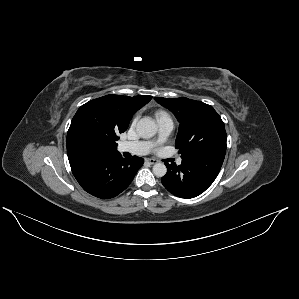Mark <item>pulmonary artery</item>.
<instances>
[{"instance_id":"e3ab8cb5","label":"pulmonary artery","mask_w":299,"mask_h":299,"mask_svg":"<svg viewBox=\"0 0 299 299\" xmlns=\"http://www.w3.org/2000/svg\"><path fill=\"white\" fill-rule=\"evenodd\" d=\"M158 138L157 141L162 143L168 139L173 130V121L169 116L162 117L158 120ZM155 144L151 141L140 142H122L118 145L120 152H129L136 155H145L153 151ZM182 160L179 159L177 164L180 165Z\"/></svg>"}]
</instances>
